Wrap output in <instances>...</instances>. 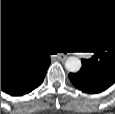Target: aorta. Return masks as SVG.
<instances>
[{"label":"aorta","instance_id":"762f6f07","mask_svg":"<svg viewBox=\"0 0 115 114\" xmlns=\"http://www.w3.org/2000/svg\"><path fill=\"white\" fill-rule=\"evenodd\" d=\"M81 66L82 64H81L80 59L75 56H70L65 61V68L69 72L76 73L81 69Z\"/></svg>","mask_w":115,"mask_h":114}]
</instances>
